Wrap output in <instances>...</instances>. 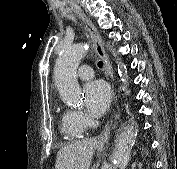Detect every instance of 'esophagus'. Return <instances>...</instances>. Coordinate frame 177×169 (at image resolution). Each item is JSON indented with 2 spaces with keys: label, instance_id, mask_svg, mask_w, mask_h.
Wrapping results in <instances>:
<instances>
[{
  "label": "esophagus",
  "instance_id": "1",
  "mask_svg": "<svg viewBox=\"0 0 177 169\" xmlns=\"http://www.w3.org/2000/svg\"><path fill=\"white\" fill-rule=\"evenodd\" d=\"M72 9L74 10L75 14L85 22L86 29L88 30V32L91 36L95 51H96L97 55L99 56V58L103 62V69L105 71V75L107 76V78H111V80H113L111 65L108 60L107 54L105 53L102 39H101V36H100L98 30L96 29L94 24L88 18H86V16L82 13L81 9L77 5H72ZM111 92H116L115 84H112ZM109 130H110V124L107 123V125L104 129L103 135H102L103 139L108 138Z\"/></svg>",
  "mask_w": 177,
  "mask_h": 169
}]
</instances>
